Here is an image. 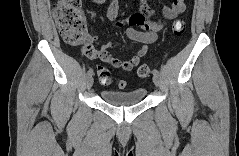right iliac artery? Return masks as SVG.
I'll use <instances>...</instances> for the list:
<instances>
[{"label":"right iliac artery","mask_w":239,"mask_h":156,"mask_svg":"<svg viewBox=\"0 0 239 156\" xmlns=\"http://www.w3.org/2000/svg\"><path fill=\"white\" fill-rule=\"evenodd\" d=\"M93 75V69H89L88 71H87V76H92Z\"/></svg>","instance_id":"obj_1"}]
</instances>
